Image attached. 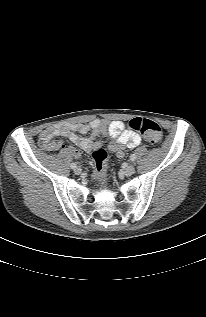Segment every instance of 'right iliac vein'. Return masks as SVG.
<instances>
[{
	"mask_svg": "<svg viewBox=\"0 0 206 317\" xmlns=\"http://www.w3.org/2000/svg\"><path fill=\"white\" fill-rule=\"evenodd\" d=\"M74 172H75L76 175H80L81 172H82V169H81L80 167H76V168L74 169Z\"/></svg>",
	"mask_w": 206,
	"mask_h": 317,
	"instance_id": "1",
	"label": "right iliac vein"
}]
</instances>
